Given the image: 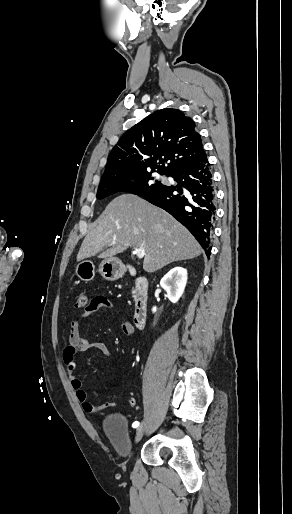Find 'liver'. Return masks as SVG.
<instances>
[{
	"instance_id": "obj_1",
	"label": "liver",
	"mask_w": 292,
	"mask_h": 514,
	"mask_svg": "<svg viewBox=\"0 0 292 514\" xmlns=\"http://www.w3.org/2000/svg\"><path fill=\"white\" fill-rule=\"evenodd\" d=\"M110 250L102 252L106 246ZM129 246L144 248L143 270L156 272L171 262L191 260L202 250L194 236L173 216L133 194H123L105 208L95 230L84 238L77 262L84 258H113Z\"/></svg>"
}]
</instances>
